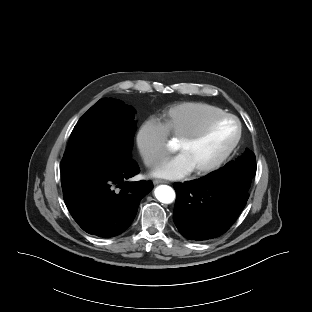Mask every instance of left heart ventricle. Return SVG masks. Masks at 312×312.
I'll return each instance as SVG.
<instances>
[{"label":"left heart ventricle","instance_id":"left-heart-ventricle-1","mask_svg":"<svg viewBox=\"0 0 312 312\" xmlns=\"http://www.w3.org/2000/svg\"><path fill=\"white\" fill-rule=\"evenodd\" d=\"M236 135V123L231 119H224L213 124L199 140L185 145L179 142L177 149L185 155L195 170L217 160L228 149Z\"/></svg>","mask_w":312,"mask_h":312}]
</instances>
